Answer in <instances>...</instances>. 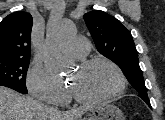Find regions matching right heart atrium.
Segmentation results:
<instances>
[{
  "label": "right heart atrium",
  "instance_id": "1",
  "mask_svg": "<svg viewBox=\"0 0 165 120\" xmlns=\"http://www.w3.org/2000/svg\"><path fill=\"white\" fill-rule=\"evenodd\" d=\"M30 94L41 101L62 104L68 99V90L47 69L33 66L27 76Z\"/></svg>",
  "mask_w": 165,
  "mask_h": 120
}]
</instances>
